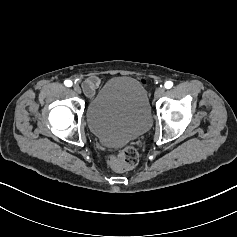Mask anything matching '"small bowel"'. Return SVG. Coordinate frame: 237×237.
Returning a JSON list of instances; mask_svg holds the SVG:
<instances>
[{"instance_id": "1", "label": "small bowel", "mask_w": 237, "mask_h": 237, "mask_svg": "<svg viewBox=\"0 0 237 237\" xmlns=\"http://www.w3.org/2000/svg\"><path fill=\"white\" fill-rule=\"evenodd\" d=\"M143 82H145V81L143 80ZM100 83H101V80L99 77H97V76L88 77L84 82L85 93L88 96L93 95L94 92L96 91V89L99 87Z\"/></svg>"}]
</instances>
